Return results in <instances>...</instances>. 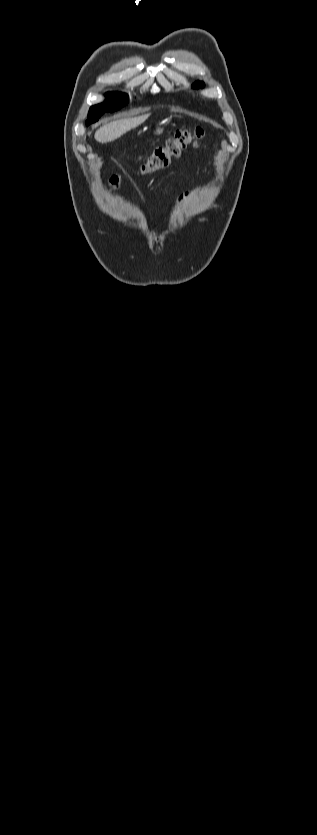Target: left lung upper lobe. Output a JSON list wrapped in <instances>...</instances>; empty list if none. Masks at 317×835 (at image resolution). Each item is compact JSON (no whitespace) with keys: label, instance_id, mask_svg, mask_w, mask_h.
<instances>
[{"label":"left lung upper lobe","instance_id":"1","mask_svg":"<svg viewBox=\"0 0 317 835\" xmlns=\"http://www.w3.org/2000/svg\"><path fill=\"white\" fill-rule=\"evenodd\" d=\"M200 86L202 87V86H203V83H201V82H196L195 84H193V87H194V88H199Z\"/></svg>","mask_w":317,"mask_h":835}]
</instances>
